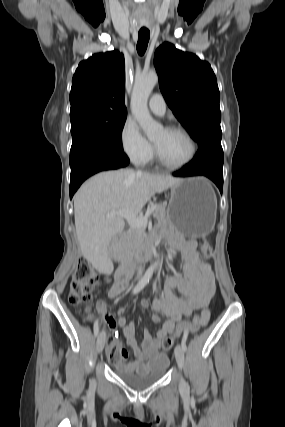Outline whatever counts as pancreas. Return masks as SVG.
Segmentation results:
<instances>
[{
  "label": "pancreas",
  "instance_id": "cf45deb5",
  "mask_svg": "<svg viewBox=\"0 0 285 427\" xmlns=\"http://www.w3.org/2000/svg\"><path fill=\"white\" fill-rule=\"evenodd\" d=\"M156 209L153 212V217L161 223L167 222V210L166 205L162 203L154 204ZM147 235L144 228L141 227H130L125 234L123 244L129 248L130 252H135L145 241Z\"/></svg>",
  "mask_w": 285,
  "mask_h": 427
}]
</instances>
